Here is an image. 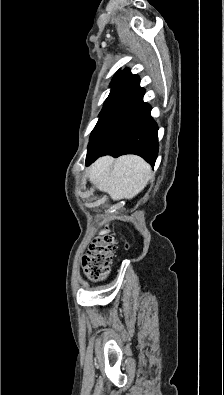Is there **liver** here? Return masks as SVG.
<instances>
[{"label":"liver","mask_w":224,"mask_h":395,"mask_svg":"<svg viewBox=\"0 0 224 395\" xmlns=\"http://www.w3.org/2000/svg\"><path fill=\"white\" fill-rule=\"evenodd\" d=\"M90 181L113 200L132 199L139 194L151 178V167L141 157L124 155L99 158L87 170ZM108 230H102L105 234Z\"/></svg>","instance_id":"obj_1"}]
</instances>
